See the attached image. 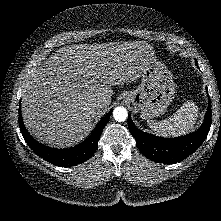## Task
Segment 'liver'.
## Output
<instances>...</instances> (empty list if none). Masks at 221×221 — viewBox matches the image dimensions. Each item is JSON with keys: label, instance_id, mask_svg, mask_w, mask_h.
<instances>
[{"label": "liver", "instance_id": "liver-1", "mask_svg": "<svg viewBox=\"0 0 221 221\" xmlns=\"http://www.w3.org/2000/svg\"><path fill=\"white\" fill-rule=\"evenodd\" d=\"M156 59L145 42L74 44L58 49L28 76L22 94L24 124L37 140L70 147L91 131L96 108L111 103L112 86L140 77Z\"/></svg>", "mask_w": 221, "mask_h": 221}]
</instances>
